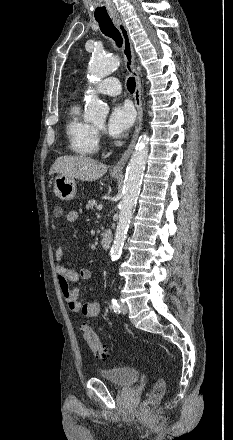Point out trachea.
<instances>
[{
  "label": "trachea",
  "instance_id": "trachea-1",
  "mask_svg": "<svg viewBox=\"0 0 233 440\" xmlns=\"http://www.w3.org/2000/svg\"><path fill=\"white\" fill-rule=\"evenodd\" d=\"M99 23V27L103 34L106 36L112 38L118 47L122 46L123 39L119 32V30L114 26L112 20L110 18L108 19H96ZM135 78L130 77L127 81V89L130 93H133L135 91Z\"/></svg>",
  "mask_w": 233,
  "mask_h": 440
}]
</instances>
